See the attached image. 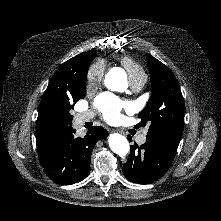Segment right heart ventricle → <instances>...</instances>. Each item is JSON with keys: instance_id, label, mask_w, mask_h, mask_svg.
I'll list each match as a JSON object with an SVG mask.
<instances>
[{"instance_id": "1", "label": "right heart ventricle", "mask_w": 221, "mask_h": 221, "mask_svg": "<svg viewBox=\"0 0 221 221\" xmlns=\"http://www.w3.org/2000/svg\"><path fill=\"white\" fill-rule=\"evenodd\" d=\"M119 62L129 74L130 81L145 76L144 70L139 63L129 57H121Z\"/></svg>"}]
</instances>
